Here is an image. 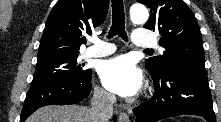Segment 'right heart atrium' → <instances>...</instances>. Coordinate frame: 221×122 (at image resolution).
Returning a JSON list of instances; mask_svg holds the SVG:
<instances>
[{
  "label": "right heart atrium",
  "mask_w": 221,
  "mask_h": 122,
  "mask_svg": "<svg viewBox=\"0 0 221 122\" xmlns=\"http://www.w3.org/2000/svg\"><path fill=\"white\" fill-rule=\"evenodd\" d=\"M95 94L96 96L103 101H110L111 100V96L109 95V93H107L103 88L101 87H97L95 89Z\"/></svg>",
  "instance_id": "right-heart-atrium-1"
}]
</instances>
